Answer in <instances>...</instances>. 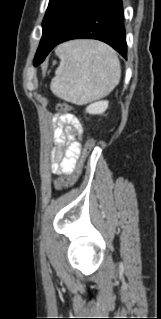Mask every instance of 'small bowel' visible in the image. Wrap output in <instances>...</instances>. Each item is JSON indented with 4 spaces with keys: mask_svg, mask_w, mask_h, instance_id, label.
Masks as SVG:
<instances>
[{
    "mask_svg": "<svg viewBox=\"0 0 161 319\" xmlns=\"http://www.w3.org/2000/svg\"><path fill=\"white\" fill-rule=\"evenodd\" d=\"M54 140L58 149L52 153V173L68 175L72 173L81 150L82 125L71 113L58 112L52 118ZM75 136L78 139H75Z\"/></svg>",
    "mask_w": 161,
    "mask_h": 319,
    "instance_id": "obj_1",
    "label": "small bowel"
}]
</instances>
